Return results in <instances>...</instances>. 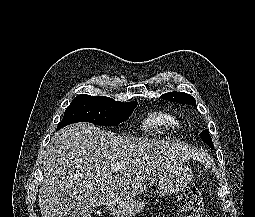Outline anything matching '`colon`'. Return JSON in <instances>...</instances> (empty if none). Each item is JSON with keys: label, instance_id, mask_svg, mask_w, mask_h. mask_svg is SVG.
I'll return each mask as SVG.
<instances>
[{"label": "colon", "instance_id": "5ec220e1", "mask_svg": "<svg viewBox=\"0 0 255 217\" xmlns=\"http://www.w3.org/2000/svg\"><path fill=\"white\" fill-rule=\"evenodd\" d=\"M179 207L196 217L203 206V199L197 188H187L178 196Z\"/></svg>", "mask_w": 255, "mask_h": 217}]
</instances>
